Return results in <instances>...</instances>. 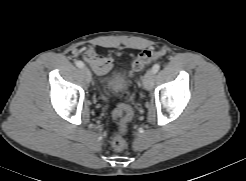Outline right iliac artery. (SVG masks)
Listing matches in <instances>:
<instances>
[{
    "instance_id": "right-iliac-artery-1",
    "label": "right iliac artery",
    "mask_w": 246,
    "mask_h": 181,
    "mask_svg": "<svg viewBox=\"0 0 246 181\" xmlns=\"http://www.w3.org/2000/svg\"><path fill=\"white\" fill-rule=\"evenodd\" d=\"M75 64H76V66L79 67V68L84 67V63H83L82 61H76Z\"/></svg>"
}]
</instances>
